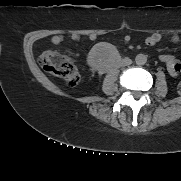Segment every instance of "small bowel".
<instances>
[{"mask_svg":"<svg viewBox=\"0 0 181 181\" xmlns=\"http://www.w3.org/2000/svg\"><path fill=\"white\" fill-rule=\"evenodd\" d=\"M71 38L73 40H78L79 36L72 35ZM63 40H64V37L60 34L54 35L51 38V42L54 45H59L60 43L63 42ZM130 40H131V38L129 36H127L125 38L126 42H129ZM161 40H162V35L160 33H153L145 39V43L149 46H153V45L157 44L158 42H160ZM171 41L179 42L180 38L177 35H173L171 37ZM160 60L165 63V65L167 67V71L172 77H177L181 73V62H179L174 56L162 55L160 57Z\"/></svg>","mask_w":181,"mask_h":181,"instance_id":"1","label":"small bowel"}]
</instances>
